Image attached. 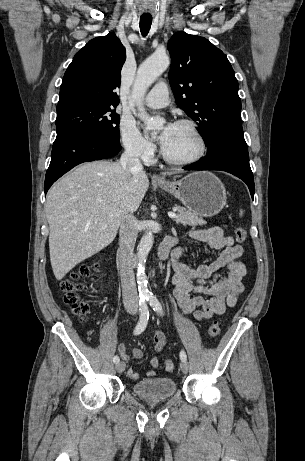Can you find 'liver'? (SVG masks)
I'll use <instances>...</instances> for the list:
<instances>
[{
    "instance_id": "6515ba94",
    "label": "liver",
    "mask_w": 305,
    "mask_h": 461,
    "mask_svg": "<svg viewBox=\"0 0 305 461\" xmlns=\"http://www.w3.org/2000/svg\"><path fill=\"white\" fill-rule=\"evenodd\" d=\"M148 188L144 172L128 176L119 163L110 161L81 164L55 183L45 210L56 279L108 246L122 217L139 208Z\"/></svg>"
}]
</instances>
